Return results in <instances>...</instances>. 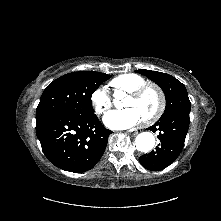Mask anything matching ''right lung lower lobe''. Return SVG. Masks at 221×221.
Instances as JSON below:
<instances>
[{
    "label": "right lung lower lobe",
    "mask_w": 221,
    "mask_h": 221,
    "mask_svg": "<svg viewBox=\"0 0 221 221\" xmlns=\"http://www.w3.org/2000/svg\"><path fill=\"white\" fill-rule=\"evenodd\" d=\"M111 133L95 114L61 113L36 122V134L47 159L74 173L96 165Z\"/></svg>",
    "instance_id": "right-lung-lower-lobe-1"
}]
</instances>
